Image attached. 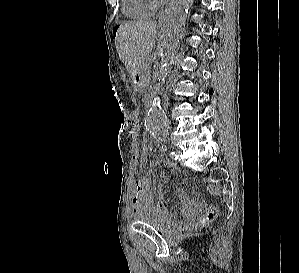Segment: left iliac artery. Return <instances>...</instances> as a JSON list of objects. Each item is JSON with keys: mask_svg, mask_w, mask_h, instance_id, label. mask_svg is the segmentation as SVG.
Masks as SVG:
<instances>
[{"mask_svg": "<svg viewBox=\"0 0 299 273\" xmlns=\"http://www.w3.org/2000/svg\"><path fill=\"white\" fill-rule=\"evenodd\" d=\"M170 156H171V158H173V159H175V160L178 159V156L176 155L175 152H171V153H170Z\"/></svg>", "mask_w": 299, "mask_h": 273, "instance_id": "left-iliac-artery-1", "label": "left iliac artery"}]
</instances>
